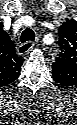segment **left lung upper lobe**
<instances>
[{
  "label": "left lung upper lobe",
  "instance_id": "left-lung-upper-lobe-1",
  "mask_svg": "<svg viewBox=\"0 0 77 125\" xmlns=\"http://www.w3.org/2000/svg\"><path fill=\"white\" fill-rule=\"evenodd\" d=\"M60 39L58 44L60 46V56L56 59L55 64L67 65L72 68L77 67V22L66 21L59 29ZM72 76L70 81L63 85H72Z\"/></svg>",
  "mask_w": 77,
  "mask_h": 125
}]
</instances>
